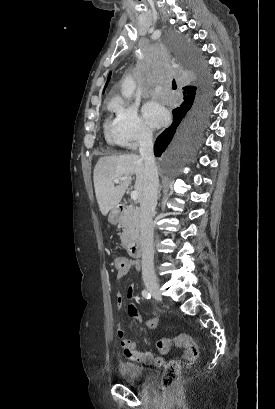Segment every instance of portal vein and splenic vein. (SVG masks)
<instances>
[{
    "instance_id": "1",
    "label": "portal vein and splenic vein",
    "mask_w": 275,
    "mask_h": 409,
    "mask_svg": "<svg viewBox=\"0 0 275 409\" xmlns=\"http://www.w3.org/2000/svg\"><path fill=\"white\" fill-rule=\"evenodd\" d=\"M128 176H117V178H114V182H120V180H127ZM131 198L133 200H137L138 198V192L137 190H131Z\"/></svg>"
}]
</instances>
